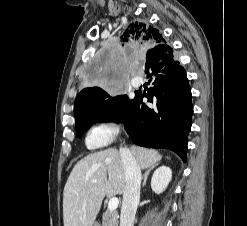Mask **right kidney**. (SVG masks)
<instances>
[{"label": "right kidney", "mask_w": 247, "mask_h": 226, "mask_svg": "<svg viewBox=\"0 0 247 226\" xmlns=\"http://www.w3.org/2000/svg\"><path fill=\"white\" fill-rule=\"evenodd\" d=\"M172 178V171L169 167L161 166L155 170L151 179V188L156 194L162 193Z\"/></svg>", "instance_id": "ca27d5eb"}]
</instances>
